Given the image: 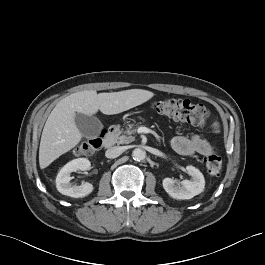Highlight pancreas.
<instances>
[{
    "label": "pancreas",
    "mask_w": 265,
    "mask_h": 265,
    "mask_svg": "<svg viewBox=\"0 0 265 265\" xmlns=\"http://www.w3.org/2000/svg\"><path fill=\"white\" fill-rule=\"evenodd\" d=\"M135 132V125H129V127H127L125 131H123V129H120L119 126H115L113 131L115 143L129 144L133 142L135 140V137L133 136Z\"/></svg>",
    "instance_id": "cf45deb5"
}]
</instances>
